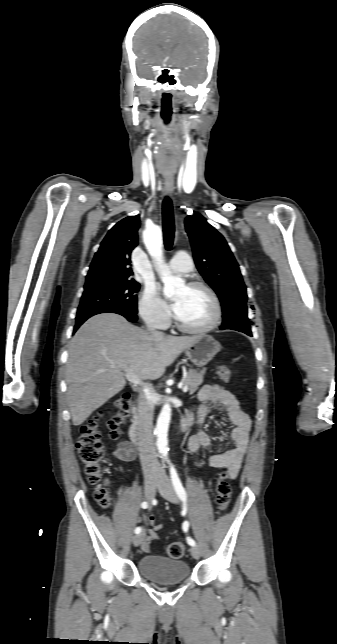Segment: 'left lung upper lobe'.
<instances>
[{"label":"left lung upper lobe","mask_w":337,"mask_h":644,"mask_svg":"<svg viewBox=\"0 0 337 644\" xmlns=\"http://www.w3.org/2000/svg\"><path fill=\"white\" fill-rule=\"evenodd\" d=\"M185 228L196 267L220 299L223 313L221 329L229 328L252 336L247 316L246 286L226 240L200 214L187 216Z\"/></svg>","instance_id":"5c2ea615"}]
</instances>
